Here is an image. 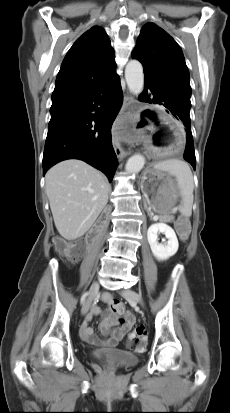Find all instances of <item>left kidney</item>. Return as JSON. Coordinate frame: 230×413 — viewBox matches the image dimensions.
Here are the masks:
<instances>
[{
  "instance_id": "obj_1",
  "label": "left kidney",
  "mask_w": 230,
  "mask_h": 413,
  "mask_svg": "<svg viewBox=\"0 0 230 413\" xmlns=\"http://www.w3.org/2000/svg\"><path fill=\"white\" fill-rule=\"evenodd\" d=\"M165 234L168 239L166 244L158 242V234ZM147 238L154 257L159 260H167L178 250L179 244L174 230L165 223L152 224L147 231Z\"/></svg>"
}]
</instances>
